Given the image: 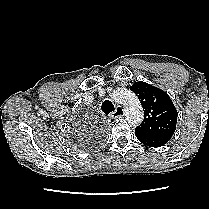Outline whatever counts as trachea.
Wrapping results in <instances>:
<instances>
[{
	"label": "trachea",
	"mask_w": 209,
	"mask_h": 209,
	"mask_svg": "<svg viewBox=\"0 0 209 209\" xmlns=\"http://www.w3.org/2000/svg\"><path fill=\"white\" fill-rule=\"evenodd\" d=\"M101 110L105 114H109V113L113 112L115 110V108H114V105L111 101L105 100L101 105Z\"/></svg>",
	"instance_id": "obj_1"
}]
</instances>
